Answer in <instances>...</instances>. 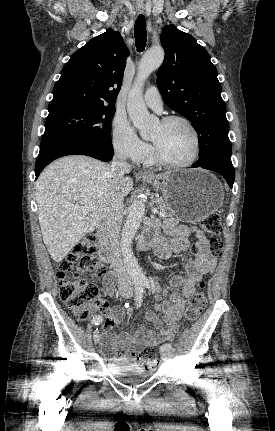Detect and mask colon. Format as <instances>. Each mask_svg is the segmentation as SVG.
Masks as SVG:
<instances>
[{
  "label": "colon",
  "instance_id": "1",
  "mask_svg": "<svg viewBox=\"0 0 275 431\" xmlns=\"http://www.w3.org/2000/svg\"><path fill=\"white\" fill-rule=\"evenodd\" d=\"M199 226L204 233L218 235L222 230L220 217L217 214H209L201 219ZM223 249L222 241L213 237L210 240L208 252L217 257ZM96 245L94 237L88 235L78 242L71 253L64 259L57 270L59 296L71 313L80 320L88 318L92 308L99 305L96 298L98 288L93 283L80 278L82 273L89 272L100 276L105 269L95 254ZM192 254L198 255L197 246L192 247ZM190 259V255L186 256ZM204 287V283L200 284ZM206 304L202 291L194 292L189 297V304L185 312L188 324L195 322L201 315ZM140 361L148 369L156 368L158 360L154 357L153 348L147 347L140 356Z\"/></svg>",
  "mask_w": 275,
  "mask_h": 431
}]
</instances>
